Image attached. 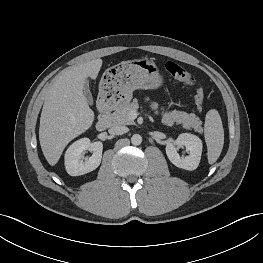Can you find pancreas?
<instances>
[{"label": "pancreas", "mask_w": 263, "mask_h": 263, "mask_svg": "<svg viewBox=\"0 0 263 263\" xmlns=\"http://www.w3.org/2000/svg\"><path fill=\"white\" fill-rule=\"evenodd\" d=\"M138 109V103L133 101L116 109L110 116L113 125H133L134 120L130 117L131 111ZM162 123L168 126L181 124L184 129H194L195 132L202 133V122L194 113L172 110L162 113Z\"/></svg>", "instance_id": "cf45deb5"}]
</instances>
